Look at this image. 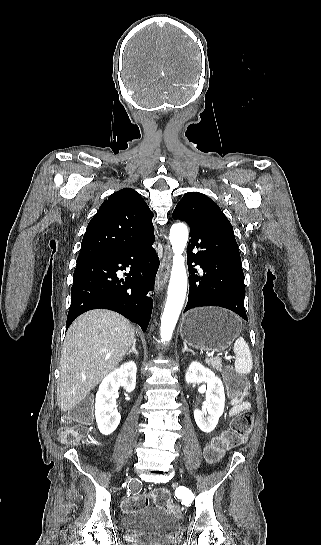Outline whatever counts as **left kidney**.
<instances>
[{
    "label": "left kidney",
    "mask_w": 321,
    "mask_h": 545,
    "mask_svg": "<svg viewBox=\"0 0 321 545\" xmlns=\"http://www.w3.org/2000/svg\"><path fill=\"white\" fill-rule=\"evenodd\" d=\"M185 379L186 383H207L206 401L202 405V411L195 409L194 419L203 433H211L218 425L219 417L224 413L225 393L223 383L213 371L206 369L197 361H193L189 365Z\"/></svg>",
    "instance_id": "obj_1"
}]
</instances>
